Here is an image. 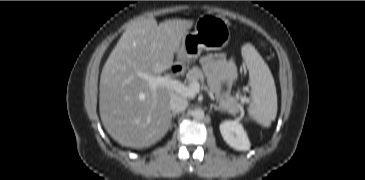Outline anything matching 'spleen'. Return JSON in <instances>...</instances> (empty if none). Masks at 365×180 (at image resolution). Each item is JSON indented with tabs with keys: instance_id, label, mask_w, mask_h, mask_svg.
Listing matches in <instances>:
<instances>
[{
	"instance_id": "obj_1",
	"label": "spleen",
	"mask_w": 365,
	"mask_h": 180,
	"mask_svg": "<svg viewBox=\"0 0 365 180\" xmlns=\"http://www.w3.org/2000/svg\"><path fill=\"white\" fill-rule=\"evenodd\" d=\"M242 55L249 70L251 86L249 118L269 127L277 115V94L273 76L253 46L246 45Z\"/></svg>"
}]
</instances>
